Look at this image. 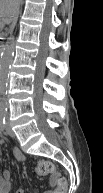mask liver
Instances as JSON below:
<instances>
[{
  "mask_svg": "<svg viewBox=\"0 0 103 193\" xmlns=\"http://www.w3.org/2000/svg\"><path fill=\"white\" fill-rule=\"evenodd\" d=\"M20 0H0V15L4 22H9L19 8Z\"/></svg>",
  "mask_w": 103,
  "mask_h": 193,
  "instance_id": "1",
  "label": "liver"
}]
</instances>
